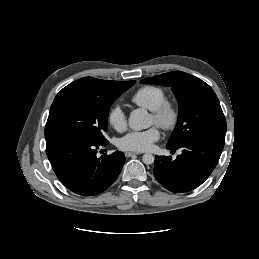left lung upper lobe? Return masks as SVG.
Instances as JSON below:
<instances>
[{
	"mask_svg": "<svg viewBox=\"0 0 259 259\" xmlns=\"http://www.w3.org/2000/svg\"><path fill=\"white\" fill-rule=\"evenodd\" d=\"M141 82L169 86L178 100V123L167 146L178 149L186 141L203 135L225 138V116L215 92L204 81L185 72L174 71Z\"/></svg>",
	"mask_w": 259,
	"mask_h": 259,
	"instance_id": "1",
	"label": "left lung upper lobe"
}]
</instances>
